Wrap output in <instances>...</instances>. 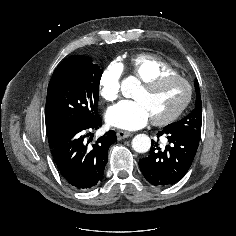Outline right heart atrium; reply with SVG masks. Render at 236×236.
<instances>
[{
    "mask_svg": "<svg viewBox=\"0 0 236 236\" xmlns=\"http://www.w3.org/2000/svg\"><path fill=\"white\" fill-rule=\"evenodd\" d=\"M123 75V65L115 60L111 62L100 75L98 87L100 95L113 102L120 96V83Z\"/></svg>",
    "mask_w": 236,
    "mask_h": 236,
    "instance_id": "right-heart-atrium-1",
    "label": "right heart atrium"
}]
</instances>
